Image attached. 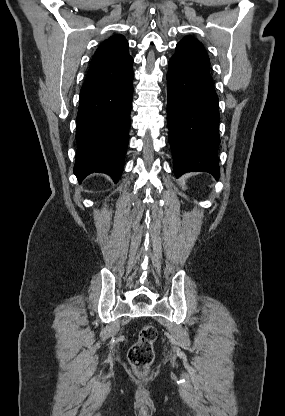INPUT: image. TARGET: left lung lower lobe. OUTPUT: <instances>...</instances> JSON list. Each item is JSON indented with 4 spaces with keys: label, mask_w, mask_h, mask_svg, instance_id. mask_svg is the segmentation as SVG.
I'll return each mask as SVG.
<instances>
[{
    "label": "left lung lower lobe",
    "mask_w": 285,
    "mask_h": 416,
    "mask_svg": "<svg viewBox=\"0 0 285 416\" xmlns=\"http://www.w3.org/2000/svg\"><path fill=\"white\" fill-rule=\"evenodd\" d=\"M167 82V124L175 175L207 172L218 179L220 116L211 75L172 57Z\"/></svg>",
    "instance_id": "0a47b994"
}]
</instances>
